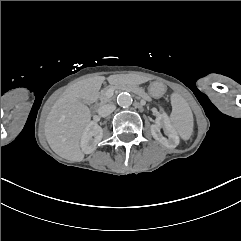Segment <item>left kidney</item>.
<instances>
[{
    "instance_id": "obj_1",
    "label": "left kidney",
    "mask_w": 241,
    "mask_h": 241,
    "mask_svg": "<svg viewBox=\"0 0 241 241\" xmlns=\"http://www.w3.org/2000/svg\"><path fill=\"white\" fill-rule=\"evenodd\" d=\"M161 128H163L164 133L168 138L162 135L160 132ZM151 134L155 140L159 141L167 148H175L179 145L177 132L171 125L170 120L165 113L160 114L156 118L155 124L151 125Z\"/></svg>"
}]
</instances>
